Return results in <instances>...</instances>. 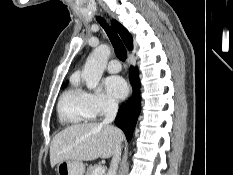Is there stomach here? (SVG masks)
<instances>
[{
	"label": "stomach",
	"mask_w": 233,
	"mask_h": 175,
	"mask_svg": "<svg viewBox=\"0 0 233 175\" xmlns=\"http://www.w3.org/2000/svg\"><path fill=\"white\" fill-rule=\"evenodd\" d=\"M85 166L81 161L64 160L58 163V175H83Z\"/></svg>",
	"instance_id": "0dacf381"
}]
</instances>
